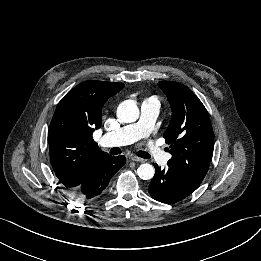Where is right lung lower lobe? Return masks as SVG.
Returning <instances> with one entry per match:
<instances>
[{
	"label": "right lung lower lobe",
	"instance_id": "right-lung-lower-lobe-1",
	"mask_svg": "<svg viewBox=\"0 0 261 261\" xmlns=\"http://www.w3.org/2000/svg\"><path fill=\"white\" fill-rule=\"evenodd\" d=\"M126 163L124 156L103 155L92 163L84 180L71 193L80 200H92L102 195L110 179Z\"/></svg>",
	"mask_w": 261,
	"mask_h": 261
}]
</instances>
